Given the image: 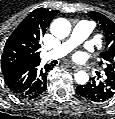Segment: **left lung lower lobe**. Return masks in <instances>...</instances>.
Wrapping results in <instances>:
<instances>
[{
    "label": "left lung lower lobe",
    "instance_id": "1",
    "mask_svg": "<svg viewBox=\"0 0 115 119\" xmlns=\"http://www.w3.org/2000/svg\"><path fill=\"white\" fill-rule=\"evenodd\" d=\"M106 76L103 81L95 82L92 79V82L87 85L78 86L76 93L91 101L104 102L109 100L115 95V78L110 75Z\"/></svg>",
    "mask_w": 115,
    "mask_h": 119
}]
</instances>
